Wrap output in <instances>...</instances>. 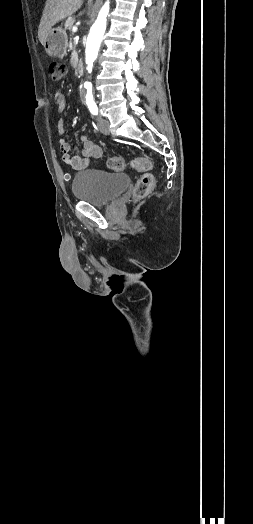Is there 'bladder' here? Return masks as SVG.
I'll return each mask as SVG.
<instances>
[{"mask_svg":"<svg viewBox=\"0 0 253 524\" xmlns=\"http://www.w3.org/2000/svg\"><path fill=\"white\" fill-rule=\"evenodd\" d=\"M130 183V177L124 173L87 169L74 175L72 192L79 201L95 206L108 205L118 198Z\"/></svg>","mask_w":253,"mask_h":524,"instance_id":"1","label":"bladder"}]
</instances>
